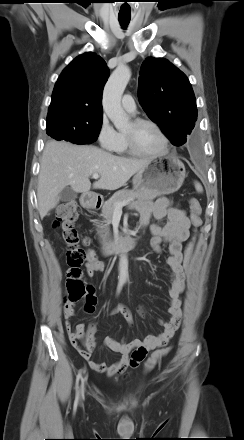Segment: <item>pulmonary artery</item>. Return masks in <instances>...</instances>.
Returning <instances> with one entry per match:
<instances>
[{"label":"pulmonary artery","mask_w":244,"mask_h":440,"mask_svg":"<svg viewBox=\"0 0 244 440\" xmlns=\"http://www.w3.org/2000/svg\"><path fill=\"white\" fill-rule=\"evenodd\" d=\"M122 107L127 112L134 114L136 111V105L134 98L130 94H125L122 98Z\"/></svg>","instance_id":"pulmonary-artery-1"}]
</instances>
